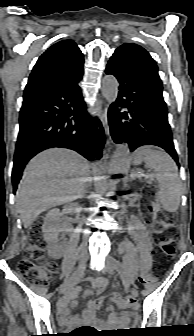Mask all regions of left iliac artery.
<instances>
[{"instance_id":"obj_1","label":"left iliac artery","mask_w":194,"mask_h":336,"mask_svg":"<svg viewBox=\"0 0 194 336\" xmlns=\"http://www.w3.org/2000/svg\"><path fill=\"white\" fill-rule=\"evenodd\" d=\"M119 271H120L121 277H122V279H123V282H124V283H125V282H129V280L127 279V277H126L124 271H123L122 268H121V265H120V267H119Z\"/></svg>"}]
</instances>
